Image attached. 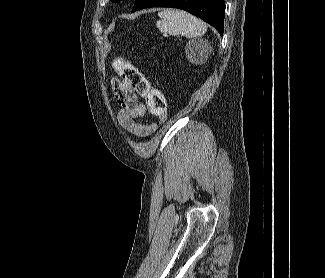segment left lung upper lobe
<instances>
[{
  "label": "left lung upper lobe",
  "instance_id": "1",
  "mask_svg": "<svg viewBox=\"0 0 325 278\" xmlns=\"http://www.w3.org/2000/svg\"><path fill=\"white\" fill-rule=\"evenodd\" d=\"M120 1H121V0H112V2H115V3H116V2H120Z\"/></svg>",
  "mask_w": 325,
  "mask_h": 278
}]
</instances>
